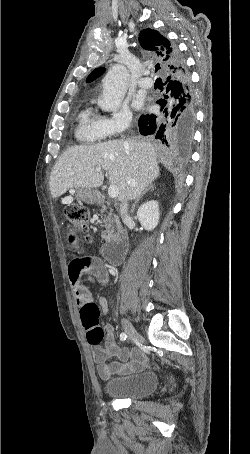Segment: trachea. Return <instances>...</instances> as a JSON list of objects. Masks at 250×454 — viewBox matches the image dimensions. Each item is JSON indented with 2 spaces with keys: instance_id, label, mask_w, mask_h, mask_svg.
<instances>
[{
  "instance_id": "1",
  "label": "trachea",
  "mask_w": 250,
  "mask_h": 454,
  "mask_svg": "<svg viewBox=\"0 0 250 454\" xmlns=\"http://www.w3.org/2000/svg\"><path fill=\"white\" fill-rule=\"evenodd\" d=\"M158 69H160V67H159V65H156L155 66V71H157ZM159 80H160V78L157 79V81H159Z\"/></svg>"
}]
</instances>
